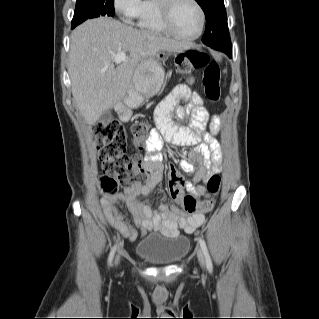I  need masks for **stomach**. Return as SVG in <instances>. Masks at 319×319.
<instances>
[{
  "label": "stomach",
  "mask_w": 319,
  "mask_h": 319,
  "mask_svg": "<svg viewBox=\"0 0 319 319\" xmlns=\"http://www.w3.org/2000/svg\"><path fill=\"white\" fill-rule=\"evenodd\" d=\"M164 58L165 52L160 51L156 57L144 60L136 68L133 84L138 99L151 97L160 90L165 76L161 65Z\"/></svg>",
  "instance_id": "1"
}]
</instances>
